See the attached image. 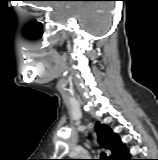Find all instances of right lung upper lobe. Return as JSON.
<instances>
[{"instance_id":"obj_1","label":"right lung upper lobe","mask_w":158,"mask_h":160,"mask_svg":"<svg viewBox=\"0 0 158 160\" xmlns=\"http://www.w3.org/2000/svg\"><path fill=\"white\" fill-rule=\"evenodd\" d=\"M95 129L100 145L104 149L110 150L112 152L107 160H117L116 158H118L124 151H126L125 145L120 142L119 137L113 133L108 126L97 122Z\"/></svg>"}]
</instances>
